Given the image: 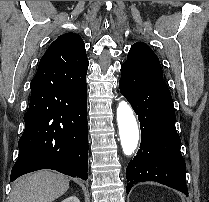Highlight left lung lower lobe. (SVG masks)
Returning <instances> with one entry per match:
<instances>
[{
    "label": "left lung lower lobe",
    "instance_id": "0a47b994",
    "mask_svg": "<svg viewBox=\"0 0 209 202\" xmlns=\"http://www.w3.org/2000/svg\"><path fill=\"white\" fill-rule=\"evenodd\" d=\"M119 87L138 115L142 134L140 149L126 168L127 193L138 182L156 181L188 195L168 86L162 79L122 65Z\"/></svg>",
    "mask_w": 209,
    "mask_h": 202
}]
</instances>
